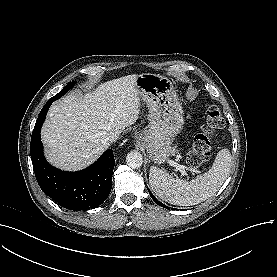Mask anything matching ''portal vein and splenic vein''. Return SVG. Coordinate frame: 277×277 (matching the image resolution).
Instances as JSON below:
<instances>
[{"label": "portal vein and splenic vein", "mask_w": 277, "mask_h": 277, "mask_svg": "<svg viewBox=\"0 0 277 277\" xmlns=\"http://www.w3.org/2000/svg\"><path fill=\"white\" fill-rule=\"evenodd\" d=\"M170 165L175 167L180 173L182 176H185L186 175V166L184 165H180L178 164L177 162H174V161H170Z\"/></svg>", "instance_id": "18ae733b"}]
</instances>
